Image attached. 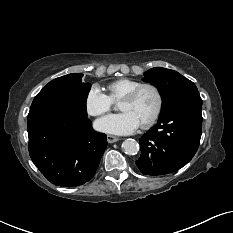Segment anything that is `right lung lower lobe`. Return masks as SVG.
Returning <instances> with one entry per match:
<instances>
[{"label":"right lung lower lobe","instance_id":"obj_1","mask_svg":"<svg viewBox=\"0 0 233 233\" xmlns=\"http://www.w3.org/2000/svg\"><path fill=\"white\" fill-rule=\"evenodd\" d=\"M29 154L51 183L74 187L89 181L107 147L106 135L92 128L87 112L62 103L30 109Z\"/></svg>","mask_w":233,"mask_h":233}]
</instances>
